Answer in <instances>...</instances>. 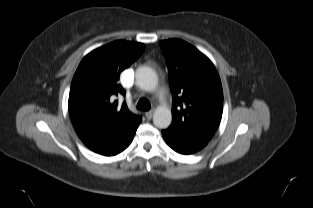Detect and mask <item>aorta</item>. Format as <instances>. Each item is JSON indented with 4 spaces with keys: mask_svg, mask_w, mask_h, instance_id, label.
Returning a JSON list of instances; mask_svg holds the SVG:
<instances>
[{
    "mask_svg": "<svg viewBox=\"0 0 313 208\" xmlns=\"http://www.w3.org/2000/svg\"><path fill=\"white\" fill-rule=\"evenodd\" d=\"M136 83L146 91L155 89L158 83V76L150 67L142 66L136 70ZM172 114L165 106L157 107L153 115V123L157 128L166 129L170 126Z\"/></svg>",
    "mask_w": 313,
    "mask_h": 208,
    "instance_id": "1",
    "label": "aorta"
}]
</instances>
